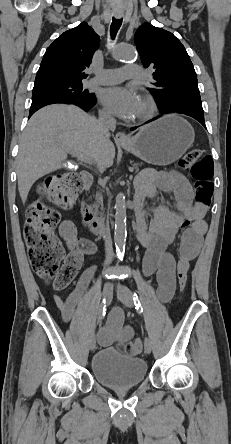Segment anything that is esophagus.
<instances>
[{
	"mask_svg": "<svg viewBox=\"0 0 231 444\" xmlns=\"http://www.w3.org/2000/svg\"><path fill=\"white\" fill-rule=\"evenodd\" d=\"M115 16L117 18H120L122 16V11H115ZM128 140L129 139H128L127 135L124 132H122V131L117 132V134L115 136V141L116 142L124 143V142H127Z\"/></svg>",
	"mask_w": 231,
	"mask_h": 444,
	"instance_id": "obj_1",
	"label": "esophagus"
}]
</instances>
